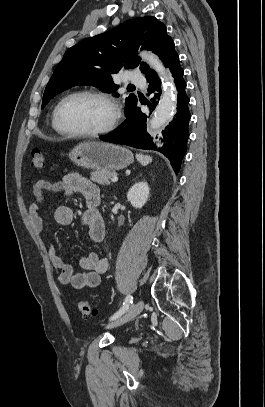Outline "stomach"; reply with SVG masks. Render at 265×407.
Wrapping results in <instances>:
<instances>
[{
	"label": "stomach",
	"instance_id": "0dacf381",
	"mask_svg": "<svg viewBox=\"0 0 265 407\" xmlns=\"http://www.w3.org/2000/svg\"><path fill=\"white\" fill-rule=\"evenodd\" d=\"M69 158L77 166L99 171L124 169L133 162V154L127 148L99 141L78 144Z\"/></svg>",
	"mask_w": 265,
	"mask_h": 407
}]
</instances>
